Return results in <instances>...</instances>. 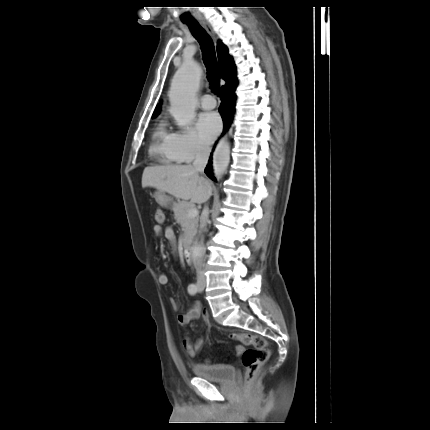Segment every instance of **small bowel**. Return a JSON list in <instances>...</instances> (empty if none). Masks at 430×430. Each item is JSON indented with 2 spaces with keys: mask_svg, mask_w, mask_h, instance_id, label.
I'll return each instance as SVG.
<instances>
[{
  "mask_svg": "<svg viewBox=\"0 0 430 430\" xmlns=\"http://www.w3.org/2000/svg\"><path fill=\"white\" fill-rule=\"evenodd\" d=\"M153 233L156 236H161L164 233L165 238L171 243L172 251H176V237L173 229L171 227H167L164 231L160 225H155L153 227ZM158 281L161 285H167L169 282V278L165 273H161L158 277ZM171 305L174 310L178 309V304L176 301L171 300ZM201 315V304L199 302H195L188 309V311L184 314L178 316L177 320L180 325H187L191 321L198 319ZM207 319V318H206ZM204 340L202 337L198 338L194 343L190 338L185 337L182 341V346L190 358L197 357L200 350L203 348ZM238 348H242L241 346H237Z\"/></svg>",
  "mask_w": 430,
  "mask_h": 430,
  "instance_id": "1",
  "label": "small bowel"
}]
</instances>
